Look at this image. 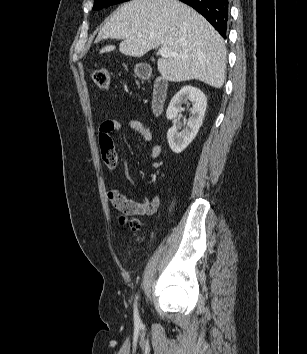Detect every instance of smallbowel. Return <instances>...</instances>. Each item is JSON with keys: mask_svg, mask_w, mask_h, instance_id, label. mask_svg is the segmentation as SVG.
<instances>
[{"mask_svg": "<svg viewBox=\"0 0 307 354\" xmlns=\"http://www.w3.org/2000/svg\"><path fill=\"white\" fill-rule=\"evenodd\" d=\"M126 125L129 129L140 134L143 140L145 141V143L147 144L152 142L154 143L149 154V158L151 160H155L161 155L162 145L157 135L154 133V131L149 125L135 119L129 120L126 123ZM122 128L123 125L121 122L116 120H107L101 124L99 129V142H100L102 157L106 166L112 170L116 168L117 161H118L117 153L115 151L114 143L112 140V133L121 131ZM109 198L118 209L127 208L133 212L143 207V205L146 204L150 206L152 209V212L149 215H152L155 212L158 205V198L156 197L150 201L139 203L126 198L125 196L121 195L117 190L110 191Z\"/></svg>", "mask_w": 307, "mask_h": 354, "instance_id": "small-bowel-1", "label": "small bowel"}]
</instances>
